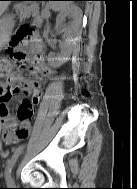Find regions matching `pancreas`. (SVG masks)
<instances>
[{
  "mask_svg": "<svg viewBox=\"0 0 137 189\" xmlns=\"http://www.w3.org/2000/svg\"><path fill=\"white\" fill-rule=\"evenodd\" d=\"M18 9L21 8V6H17ZM29 13V8H25L21 13H20V20H23L24 18H26L28 16ZM48 12H43L42 16H35V20L37 21H42V17H47Z\"/></svg>",
  "mask_w": 137,
  "mask_h": 189,
  "instance_id": "obj_1",
  "label": "pancreas"
}]
</instances>
